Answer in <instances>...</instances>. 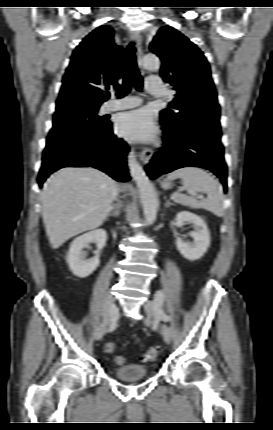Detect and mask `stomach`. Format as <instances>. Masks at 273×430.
Wrapping results in <instances>:
<instances>
[{
  "instance_id": "0dacf381",
  "label": "stomach",
  "mask_w": 273,
  "mask_h": 430,
  "mask_svg": "<svg viewBox=\"0 0 273 430\" xmlns=\"http://www.w3.org/2000/svg\"><path fill=\"white\" fill-rule=\"evenodd\" d=\"M161 185H162V187L164 189H167V188H170L171 183H170V181H168L167 179H165V180L162 181Z\"/></svg>"
}]
</instances>
